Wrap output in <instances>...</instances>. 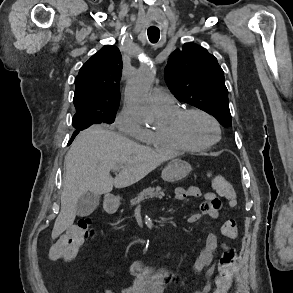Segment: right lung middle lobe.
<instances>
[{
	"label": "right lung middle lobe",
	"mask_w": 293,
	"mask_h": 293,
	"mask_svg": "<svg viewBox=\"0 0 293 293\" xmlns=\"http://www.w3.org/2000/svg\"><path fill=\"white\" fill-rule=\"evenodd\" d=\"M116 110L109 112H95L89 110H77L73 116V127L75 130H83L92 124L113 123L115 120Z\"/></svg>",
	"instance_id": "dd1d6c3e"
}]
</instances>
